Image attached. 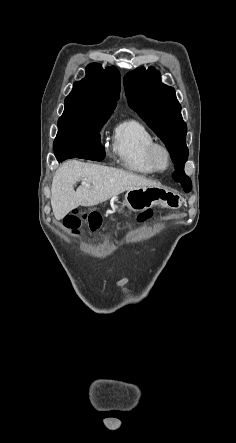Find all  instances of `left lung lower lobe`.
<instances>
[{"label":"left lung lower lobe","instance_id":"obj_1","mask_svg":"<svg viewBox=\"0 0 236 443\" xmlns=\"http://www.w3.org/2000/svg\"><path fill=\"white\" fill-rule=\"evenodd\" d=\"M175 181L182 184L185 192H189L192 189L190 178L185 174L184 169L176 170L173 174Z\"/></svg>","mask_w":236,"mask_h":443}]
</instances>
